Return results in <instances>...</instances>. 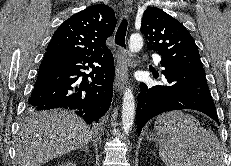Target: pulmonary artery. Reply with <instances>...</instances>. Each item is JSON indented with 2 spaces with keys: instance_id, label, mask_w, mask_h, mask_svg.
Instances as JSON below:
<instances>
[{
  "instance_id": "1",
  "label": "pulmonary artery",
  "mask_w": 231,
  "mask_h": 166,
  "mask_svg": "<svg viewBox=\"0 0 231 166\" xmlns=\"http://www.w3.org/2000/svg\"><path fill=\"white\" fill-rule=\"evenodd\" d=\"M154 59H155V62H156L157 64H160V62H161L160 57L154 56Z\"/></svg>"
}]
</instances>
